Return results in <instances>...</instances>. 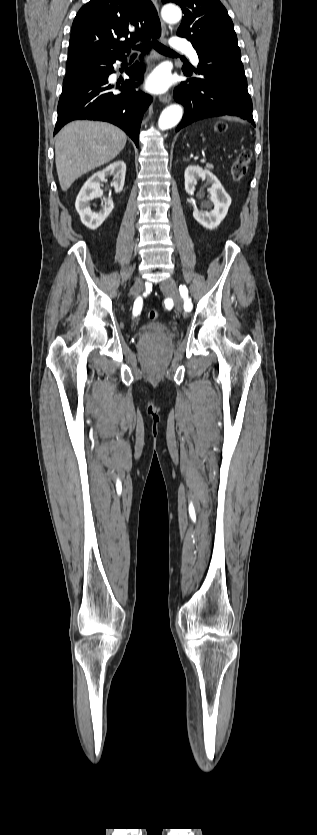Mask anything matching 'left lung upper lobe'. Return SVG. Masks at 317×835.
<instances>
[{
    "mask_svg": "<svg viewBox=\"0 0 317 835\" xmlns=\"http://www.w3.org/2000/svg\"><path fill=\"white\" fill-rule=\"evenodd\" d=\"M178 4L184 13L177 31L193 47L240 53L231 18L218 0H162Z\"/></svg>",
    "mask_w": 317,
    "mask_h": 835,
    "instance_id": "obj_1",
    "label": "left lung upper lobe"
}]
</instances>
